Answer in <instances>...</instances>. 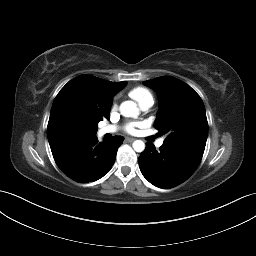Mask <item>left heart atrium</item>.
Wrapping results in <instances>:
<instances>
[{"mask_svg": "<svg viewBox=\"0 0 256 256\" xmlns=\"http://www.w3.org/2000/svg\"><path fill=\"white\" fill-rule=\"evenodd\" d=\"M140 126V123L130 122L125 125L124 130L129 134H134L136 132V129Z\"/></svg>", "mask_w": 256, "mask_h": 256, "instance_id": "1", "label": "left heart atrium"}]
</instances>
